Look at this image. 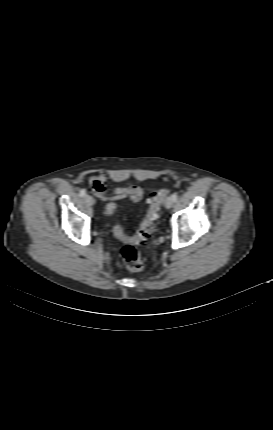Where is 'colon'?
Wrapping results in <instances>:
<instances>
[{"label": "colon", "instance_id": "colon-1", "mask_svg": "<svg viewBox=\"0 0 273 430\" xmlns=\"http://www.w3.org/2000/svg\"><path fill=\"white\" fill-rule=\"evenodd\" d=\"M169 193L170 190L164 188L151 194L150 198L148 199L147 212L140 221L139 227L133 236H126L123 228L119 224L114 226V234L126 242L120 249V256L124 265L128 269L132 271H139L143 269L144 264L135 245L146 241L147 238L154 232V222L158 218L161 205ZM116 208L117 204H109L106 207V213L112 214Z\"/></svg>", "mask_w": 273, "mask_h": 430}]
</instances>
